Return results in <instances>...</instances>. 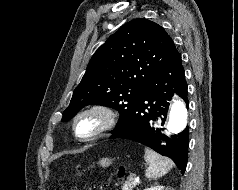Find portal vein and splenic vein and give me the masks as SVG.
Listing matches in <instances>:
<instances>
[{"instance_id":"18ae733b","label":"portal vein and splenic vein","mask_w":238,"mask_h":190,"mask_svg":"<svg viewBox=\"0 0 238 190\" xmlns=\"http://www.w3.org/2000/svg\"><path fill=\"white\" fill-rule=\"evenodd\" d=\"M132 176V175H131ZM137 182H139V179H136Z\"/></svg>"}]
</instances>
